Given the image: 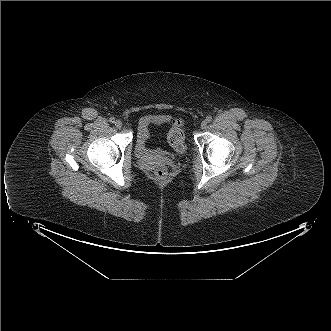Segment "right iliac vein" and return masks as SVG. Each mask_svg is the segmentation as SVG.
Wrapping results in <instances>:
<instances>
[{"mask_svg":"<svg viewBox=\"0 0 331 331\" xmlns=\"http://www.w3.org/2000/svg\"><path fill=\"white\" fill-rule=\"evenodd\" d=\"M115 127L116 128H121L122 127V122L120 120L115 121Z\"/></svg>","mask_w":331,"mask_h":331,"instance_id":"63e3f726","label":"right iliac vein"}]
</instances>
